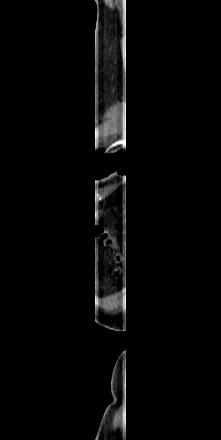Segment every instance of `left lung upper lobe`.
I'll return each mask as SVG.
<instances>
[{
  "label": "left lung upper lobe",
  "mask_w": 221,
  "mask_h": 440,
  "mask_svg": "<svg viewBox=\"0 0 221 440\" xmlns=\"http://www.w3.org/2000/svg\"><path fill=\"white\" fill-rule=\"evenodd\" d=\"M127 152H128V149L120 150L112 155H105V154L101 153V154L94 156L93 163H92L94 172L96 173L99 170H103L104 168H108L111 165L115 164L121 158H123Z\"/></svg>",
  "instance_id": "left-lung-upper-lobe-1"
}]
</instances>
